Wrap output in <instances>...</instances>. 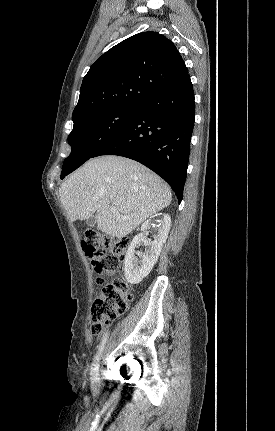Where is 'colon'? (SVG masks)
<instances>
[{"mask_svg":"<svg viewBox=\"0 0 275 431\" xmlns=\"http://www.w3.org/2000/svg\"><path fill=\"white\" fill-rule=\"evenodd\" d=\"M128 244L127 239H115L98 232L87 234L81 246L99 282L122 270ZM132 299L130 286L122 276L105 285L91 308L92 334H99L104 325L124 314Z\"/></svg>","mask_w":275,"mask_h":431,"instance_id":"obj_1","label":"colon"}]
</instances>
